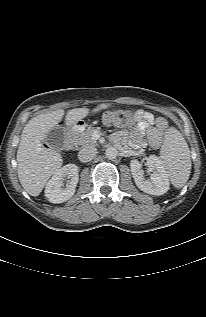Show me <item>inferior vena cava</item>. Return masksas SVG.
<instances>
[{"instance_id":"obj_1","label":"inferior vena cava","mask_w":206,"mask_h":317,"mask_svg":"<svg viewBox=\"0 0 206 317\" xmlns=\"http://www.w3.org/2000/svg\"><path fill=\"white\" fill-rule=\"evenodd\" d=\"M96 155V149L93 147H84L78 153V158L81 162H89Z\"/></svg>"}]
</instances>
